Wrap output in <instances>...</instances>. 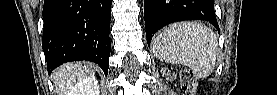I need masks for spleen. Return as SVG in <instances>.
Segmentation results:
<instances>
[{
	"instance_id": "obj_1",
	"label": "spleen",
	"mask_w": 277,
	"mask_h": 95,
	"mask_svg": "<svg viewBox=\"0 0 277 95\" xmlns=\"http://www.w3.org/2000/svg\"><path fill=\"white\" fill-rule=\"evenodd\" d=\"M218 51L217 37L198 22H180L166 27L153 41L152 52L161 61L188 66L206 78L213 72Z\"/></svg>"
}]
</instances>
